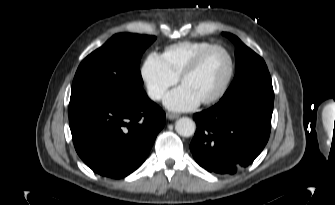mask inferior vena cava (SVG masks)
<instances>
[{"instance_id":"inferior-vena-cava-1","label":"inferior vena cava","mask_w":335,"mask_h":205,"mask_svg":"<svg viewBox=\"0 0 335 205\" xmlns=\"http://www.w3.org/2000/svg\"><path fill=\"white\" fill-rule=\"evenodd\" d=\"M148 94H149V97L151 99H153V100H159L161 98L163 92L160 91V90H151V91H149Z\"/></svg>"}]
</instances>
